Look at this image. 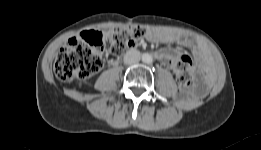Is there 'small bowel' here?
Wrapping results in <instances>:
<instances>
[{"label": "small bowel", "instance_id": "c3829d8e", "mask_svg": "<svg viewBox=\"0 0 261 150\" xmlns=\"http://www.w3.org/2000/svg\"><path fill=\"white\" fill-rule=\"evenodd\" d=\"M145 37L148 41L153 43H176L191 48L195 57L198 59L204 70L210 72V59L207 50L203 44L180 34L158 29L147 30ZM154 55L156 58L161 59L163 63H165V60L168 57H172L176 55V53L169 49H162L155 52Z\"/></svg>", "mask_w": 261, "mask_h": 150}]
</instances>
